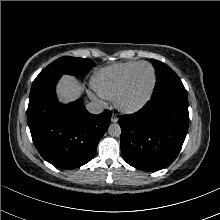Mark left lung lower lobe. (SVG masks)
I'll return each mask as SVG.
<instances>
[{
    "instance_id": "0a47b994",
    "label": "left lung lower lobe",
    "mask_w": 220,
    "mask_h": 220,
    "mask_svg": "<svg viewBox=\"0 0 220 220\" xmlns=\"http://www.w3.org/2000/svg\"><path fill=\"white\" fill-rule=\"evenodd\" d=\"M118 123L124 160L142 171H158L169 166L181 150L189 124L188 103L150 99L142 110L119 116Z\"/></svg>"
}]
</instances>
